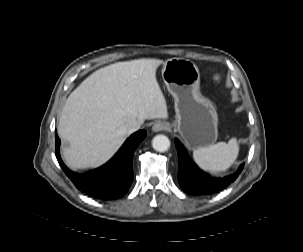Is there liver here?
<instances>
[{"label": "liver", "mask_w": 303, "mask_h": 252, "mask_svg": "<svg viewBox=\"0 0 303 252\" xmlns=\"http://www.w3.org/2000/svg\"><path fill=\"white\" fill-rule=\"evenodd\" d=\"M162 63L138 59L111 64L93 72L69 95L58 134L69 143L62 155L70 168L97 167L109 160L125 141L127 123L168 118L156 79Z\"/></svg>", "instance_id": "6515ba94"}]
</instances>
